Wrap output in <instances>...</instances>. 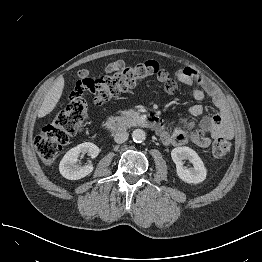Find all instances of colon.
Returning <instances> with one entry per match:
<instances>
[{
  "label": "colon",
  "instance_id": "colon-1",
  "mask_svg": "<svg viewBox=\"0 0 262 262\" xmlns=\"http://www.w3.org/2000/svg\"><path fill=\"white\" fill-rule=\"evenodd\" d=\"M152 76H157L160 80L167 78L163 66L153 60L133 65L114 62L105 68L104 75L96 78L91 77L87 70L79 71L77 80L72 85L74 95L69 97L62 110L41 127L34 138V146L42 161L47 165L54 164L69 138L81 130L86 113L85 103L81 98L83 93H90L94 103L101 105L112 96ZM230 151L231 144L224 138L216 139L211 146V154L215 159L225 158Z\"/></svg>",
  "mask_w": 262,
  "mask_h": 262
}]
</instances>
